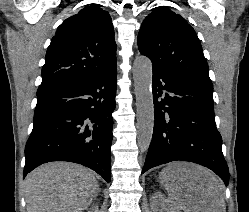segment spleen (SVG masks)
I'll list each match as a JSON object with an SVG mask.
<instances>
[{"label":"spleen","mask_w":249,"mask_h":212,"mask_svg":"<svg viewBox=\"0 0 249 212\" xmlns=\"http://www.w3.org/2000/svg\"><path fill=\"white\" fill-rule=\"evenodd\" d=\"M163 174H165V176H163ZM160 180H161V184H163L164 188H166V190H168V192H172V186H170L169 182H170V170L169 168H165V170H162L161 174H160ZM173 194V192H172ZM171 194V196H172Z\"/></svg>","instance_id":"obj_1"}]
</instances>
